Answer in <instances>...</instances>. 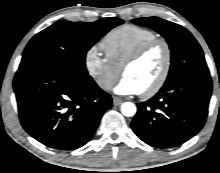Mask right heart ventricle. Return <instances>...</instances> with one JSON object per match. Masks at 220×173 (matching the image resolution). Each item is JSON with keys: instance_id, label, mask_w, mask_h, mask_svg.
Wrapping results in <instances>:
<instances>
[{"instance_id": "right-heart-ventricle-1", "label": "right heart ventricle", "mask_w": 220, "mask_h": 173, "mask_svg": "<svg viewBox=\"0 0 220 173\" xmlns=\"http://www.w3.org/2000/svg\"><path fill=\"white\" fill-rule=\"evenodd\" d=\"M154 31L126 24L110 31L100 43L108 60L122 69L125 61L141 46L157 39Z\"/></svg>"}]
</instances>
